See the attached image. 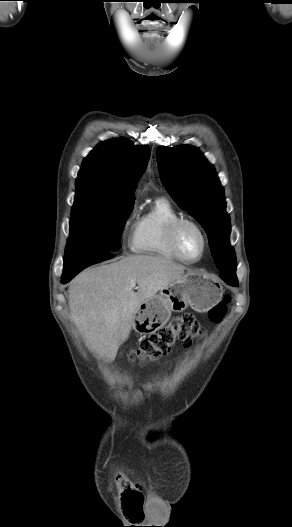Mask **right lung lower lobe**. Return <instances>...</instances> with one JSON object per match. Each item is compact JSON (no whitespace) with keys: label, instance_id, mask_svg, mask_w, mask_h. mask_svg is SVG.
Here are the masks:
<instances>
[{"label":"right lung lower lobe","instance_id":"obj_1","mask_svg":"<svg viewBox=\"0 0 292 527\" xmlns=\"http://www.w3.org/2000/svg\"><path fill=\"white\" fill-rule=\"evenodd\" d=\"M114 255L109 253H101L85 256H68L64 258L63 275L61 279L62 284L68 283L75 275H77L84 268L98 262H102L113 258Z\"/></svg>","mask_w":292,"mask_h":527}]
</instances>
